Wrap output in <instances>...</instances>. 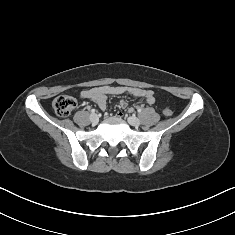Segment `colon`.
<instances>
[{"instance_id":"colon-1","label":"colon","mask_w":235,"mask_h":235,"mask_svg":"<svg viewBox=\"0 0 235 235\" xmlns=\"http://www.w3.org/2000/svg\"><path fill=\"white\" fill-rule=\"evenodd\" d=\"M53 109L58 116H68L76 106V100L68 95H59L53 101ZM163 113L166 116L172 115V110L165 108Z\"/></svg>"}]
</instances>
